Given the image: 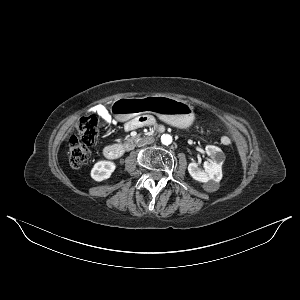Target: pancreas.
<instances>
[{"label": "pancreas", "mask_w": 300, "mask_h": 300, "mask_svg": "<svg viewBox=\"0 0 300 300\" xmlns=\"http://www.w3.org/2000/svg\"><path fill=\"white\" fill-rule=\"evenodd\" d=\"M131 140H128L127 142H125V146L126 147H128L129 146V142H130Z\"/></svg>", "instance_id": "pancreas-1"}]
</instances>
